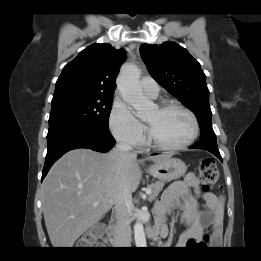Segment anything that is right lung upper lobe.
Instances as JSON below:
<instances>
[{
  "label": "right lung upper lobe",
  "mask_w": 261,
  "mask_h": 261,
  "mask_svg": "<svg viewBox=\"0 0 261 261\" xmlns=\"http://www.w3.org/2000/svg\"><path fill=\"white\" fill-rule=\"evenodd\" d=\"M125 51L110 44H92L62 70L54 94L112 96Z\"/></svg>",
  "instance_id": "right-lung-upper-lobe-1"
}]
</instances>
